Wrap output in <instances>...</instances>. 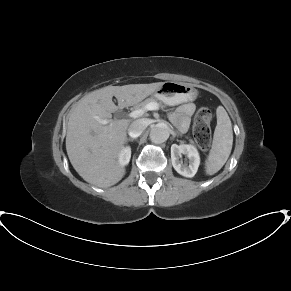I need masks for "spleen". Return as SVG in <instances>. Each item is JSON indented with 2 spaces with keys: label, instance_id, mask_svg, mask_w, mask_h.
I'll list each match as a JSON object with an SVG mask.
<instances>
[{
  "label": "spleen",
  "instance_id": "spleen-1",
  "mask_svg": "<svg viewBox=\"0 0 291 291\" xmlns=\"http://www.w3.org/2000/svg\"><path fill=\"white\" fill-rule=\"evenodd\" d=\"M217 125L214 131L212 147L205 163L206 173H217L226 163L232 150L233 130L231 120L222 106L216 110Z\"/></svg>",
  "mask_w": 291,
  "mask_h": 291
}]
</instances>
